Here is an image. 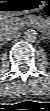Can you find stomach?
<instances>
[{
	"mask_svg": "<svg viewBox=\"0 0 50 111\" xmlns=\"http://www.w3.org/2000/svg\"><path fill=\"white\" fill-rule=\"evenodd\" d=\"M6 16L22 15L30 12L41 10L45 2L44 0H6L3 2Z\"/></svg>",
	"mask_w": 50,
	"mask_h": 111,
	"instance_id": "obj_1",
	"label": "stomach"
}]
</instances>
